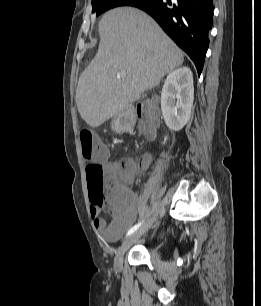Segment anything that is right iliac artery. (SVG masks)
<instances>
[{"label": "right iliac artery", "mask_w": 261, "mask_h": 306, "mask_svg": "<svg viewBox=\"0 0 261 306\" xmlns=\"http://www.w3.org/2000/svg\"><path fill=\"white\" fill-rule=\"evenodd\" d=\"M142 223H143V221H142V222H139L138 224H136V225H134L133 227H131V228L128 230L126 236H129V235H131L132 233H134V232L141 226Z\"/></svg>", "instance_id": "right-iliac-artery-1"}]
</instances>
